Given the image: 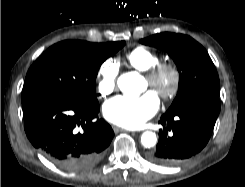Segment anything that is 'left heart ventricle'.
I'll return each instance as SVG.
<instances>
[{
    "mask_svg": "<svg viewBox=\"0 0 245 187\" xmlns=\"http://www.w3.org/2000/svg\"><path fill=\"white\" fill-rule=\"evenodd\" d=\"M169 85H170L169 77L164 78V80L162 82V88H168ZM147 86L150 87V84H149L148 80H147Z\"/></svg>",
    "mask_w": 245,
    "mask_h": 187,
    "instance_id": "b2bd125f",
    "label": "left heart ventricle"
}]
</instances>
